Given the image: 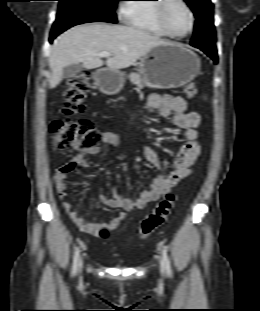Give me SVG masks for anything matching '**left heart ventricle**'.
I'll return each mask as SVG.
<instances>
[{
	"mask_svg": "<svg viewBox=\"0 0 260 311\" xmlns=\"http://www.w3.org/2000/svg\"><path fill=\"white\" fill-rule=\"evenodd\" d=\"M165 20L169 29L175 34L186 33L191 24L188 11L178 0H170L168 3Z\"/></svg>",
	"mask_w": 260,
	"mask_h": 311,
	"instance_id": "obj_1",
	"label": "left heart ventricle"
}]
</instances>
